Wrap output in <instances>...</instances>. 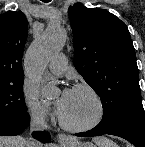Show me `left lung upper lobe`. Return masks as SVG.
Returning <instances> with one entry per match:
<instances>
[{"label":"left lung upper lobe","mask_w":145,"mask_h":147,"mask_svg":"<svg viewBox=\"0 0 145 147\" xmlns=\"http://www.w3.org/2000/svg\"><path fill=\"white\" fill-rule=\"evenodd\" d=\"M68 14L75 68L103 106V118L96 127L109 129L145 118L135 49L125 23L107 10L80 3L69 7Z\"/></svg>","instance_id":"left-lung-upper-lobe-1"}]
</instances>
